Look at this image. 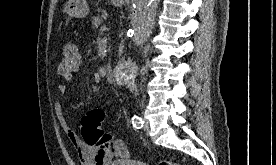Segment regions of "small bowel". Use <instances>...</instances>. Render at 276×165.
<instances>
[{"mask_svg": "<svg viewBox=\"0 0 276 165\" xmlns=\"http://www.w3.org/2000/svg\"><path fill=\"white\" fill-rule=\"evenodd\" d=\"M62 78L65 81H69L71 80L72 75L62 76ZM57 89L61 94H63L66 91V86L64 84H59ZM54 112L63 132L75 148L81 165H109L116 159H123L126 157L127 151L121 140H119V143L126 151V155L124 157H117L112 153H100L96 148L88 145L79 138L67 120L64 110L59 102L54 103Z\"/></svg>", "mask_w": 276, "mask_h": 165, "instance_id": "1", "label": "small bowel"}]
</instances>
